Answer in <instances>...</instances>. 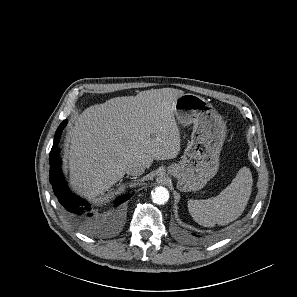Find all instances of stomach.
Instances as JSON below:
<instances>
[{
    "instance_id": "0dacf381",
    "label": "stomach",
    "mask_w": 297,
    "mask_h": 297,
    "mask_svg": "<svg viewBox=\"0 0 297 297\" xmlns=\"http://www.w3.org/2000/svg\"><path fill=\"white\" fill-rule=\"evenodd\" d=\"M174 114L179 124H193V130L182 160L170 165L167 172L178 180L180 191H198L218 171L225 123L211 104L191 93L177 98Z\"/></svg>"
}]
</instances>
